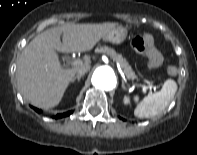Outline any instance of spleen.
Wrapping results in <instances>:
<instances>
[{
    "label": "spleen",
    "instance_id": "1",
    "mask_svg": "<svg viewBox=\"0 0 197 155\" xmlns=\"http://www.w3.org/2000/svg\"><path fill=\"white\" fill-rule=\"evenodd\" d=\"M177 91V84L174 80L168 79L164 82L160 91L147 95L139 101L138 96L133 100L137 104L134 115L138 118H150L162 112L171 102Z\"/></svg>",
    "mask_w": 197,
    "mask_h": 155
}]
</instances>
